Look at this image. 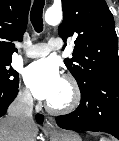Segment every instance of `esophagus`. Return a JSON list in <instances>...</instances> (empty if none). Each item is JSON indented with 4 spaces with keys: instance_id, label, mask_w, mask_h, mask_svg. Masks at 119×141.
Returning a JSON list of instances; mask_svg holds the SVG:
<instances>
[{
    "instance_id": "esophagus-1",
    "label": "esophagus",
    "mask_w": 119,
    "mask_h": 141,
    "mask_svg": "<svg viewBox=\"0 0 119 141\" xmlns=\"http://www.w3.org/2000/svg\"><path fill=\"white\" fill-rule=\"evenodd\" d=\"M45 128L47 129V130H49V131H51V130H54L55 129V127H54V123H53V120L52 119H50V118H48V119H46V121H45Z\"/></svg>"
}]
</instances>
